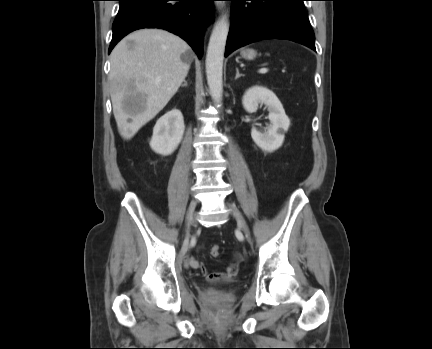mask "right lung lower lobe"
Wrapping results in <instances>:
<instances>
[{
  "label": "right lung lower lobe",
  "instance_id": "right-lung-lower-lobe-1",
  "mask_svg": "<svg viewBox=\"0 0 432 349\" xmlns=\"http://www.w3.org/2000/svg\"><path fill=\"white\" fill-rule=\"evenodd\" d=\"M120 8L113 23L109 53L128 33L141 28L172 32L202 57V36L214 16V0H118Z\"/></svg>",
  "mask_w": 432,
  "mask_h": 349
}]
</instances>
